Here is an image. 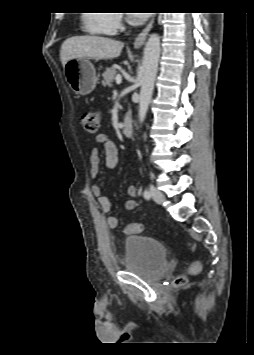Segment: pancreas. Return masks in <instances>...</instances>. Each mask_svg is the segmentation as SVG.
Masks as SVG:
<instances>
[{
    "instance_id": "cf45deb5",
    "label": "pancreas",
    "mask_w": 254,
    "mask_h": 355,
    "mask_svg": "<svg viewBox=\"0 0 254 355\" xmlns=\"http://www.w3.org/2000/svg\"><path fill=\"white\" fill-rule=\"evenodd\" d=\"M116 74H117V69L115 67H111V68L107 69L102 74V76H103L102 85L103 86L112 85V82L114 81Z\"/></svg>"
}]
</instances>
